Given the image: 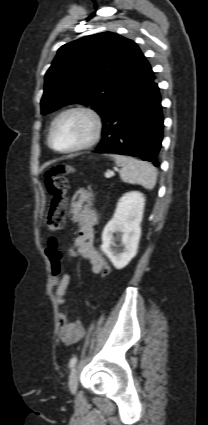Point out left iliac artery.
<instances>
[{"instance_id":"obj_1","label":"left iliac artery","mask_w":208,"mask_h":425,"mask_svg":"<svg viewBox=\"0 0 208 425\" xmlns=\"http://www.w3.org/2000/svg\"><path fill=\"white\" fill-rule=\"evenodd\" d=\"M76 362H77V358H76V357H73V358L70 360V362H69V367H70V368L74 367V366H75V364H76Z\"/></svg>"}]
</instances>
